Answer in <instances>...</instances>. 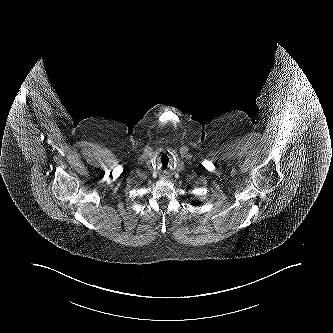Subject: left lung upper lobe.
I'll use <instances>...</instances> for the list:
<instances>
[{
    "instance_id": "left-lung-upper-lobe-1",
    "label": "left lung upper lobe",
    "mask_w": 333,
    "mask_h": 333,
    "mask_svg": "<svg viewBox=\"0 0 333 333\" xmlns=\"http://www.w3.org/2000/svg\"><path fill=\"white\" fill-rule=\"evenodd\" d=\"M193 204H194V205H198L199 203L194 202Z\"/></svg>"
}]
</instances>
